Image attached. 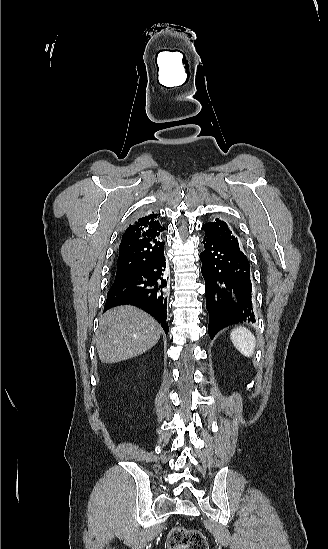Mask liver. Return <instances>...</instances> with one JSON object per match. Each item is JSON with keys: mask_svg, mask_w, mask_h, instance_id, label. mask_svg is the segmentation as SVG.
Wrapping results in <instances>:
<instances>
[{"mask_svg": "<svg viewBox=\"0 0 328 549\" xmlns=\"http://www.w3.org/2000/svg\"><path fill=\"white\" fill-rule=\"evenodd\" d=\"M161 327L145 311L121 305L100 319L95 341L101 363H119L138 357L158 343Z\"/></svg>", "mask_w": 328, "mask_h": 549, "instance_id": "obj_1", "label": "liver"}]
</instances>
